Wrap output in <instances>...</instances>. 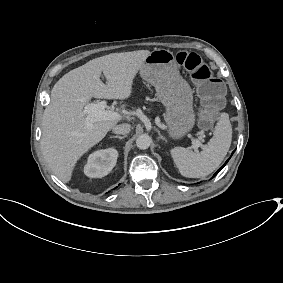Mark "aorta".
<instances>
[{"label": "aorta", "mask_w": 283, "mask_h": 283, "mask_svg": "<svg viewBox=\"0 0 283 283\" xmlns=\"http://www.w3.org/2000/svg\"><path fill=\"white\" fill-rule=\"evenodd\" d=\"M152 139L147 134H142L136 139V145L139 149L145 150L151 145Z\"/></svg>", "instance_id": "1"}]
</instances>
